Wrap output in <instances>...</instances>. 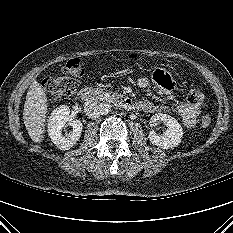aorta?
Instances as JSON below:
<instances>
[{"instance_id": "1", "label": "aorta", "mask_w": 233, "mask_h": 233, "mask_svg": "<svg viewBox=\"0 0 233 233\" xmlns=\"http://www.w3.org/2000/svg\"><path fill=\"white\" fill-rule=\"evenodd\" d=\"M102 104H103L102 114H108L111 111L112 106L108 103H102Z\"/></svg>"}]
</instances>
